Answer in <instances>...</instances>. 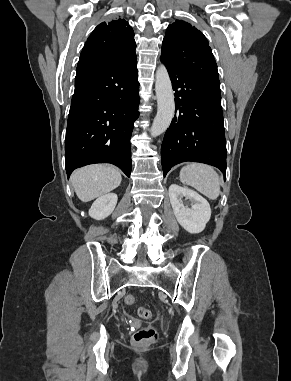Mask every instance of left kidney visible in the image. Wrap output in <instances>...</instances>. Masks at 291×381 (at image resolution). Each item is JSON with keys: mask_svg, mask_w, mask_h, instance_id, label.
Returning a JSON list of instances; mask_svg holds the SVG:
<instances>
[{"mask_svg": "<svg viewBox=\"0 0 291 381\" xmlns=\"http://www.w3.org/2000/svg\"><path fill=\"white\" fill-rule=\"evenodd\" d=\"M183 197L191 202V207L183 204ZM169 198L178 223L189 233H200L205 229L211 217V208L207 200L196 191L172 184Z\"/></svg>", "mask_w": 291, "mask_h": 381, "instance_id": "5707ae66", "label": "left kidney"}]
</instances>
